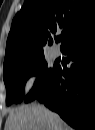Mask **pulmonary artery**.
<instances>
[{"instance_id":"obj_1","label":"pulmonary artery","mask_w":95,"mask_h":130,"mask_svg":"<svg viewBox=\"0 0 95 130\" xmlns=\"http://www.w3.org/2000/svg\"><path fill=\"white\" fill-rule=\"evenodd\" d=\"M51 54H52V56H53L54 58L58 57V55H59V50H58V48L54 46V47L51 49Z\"/></svg>"}]
</instances>
